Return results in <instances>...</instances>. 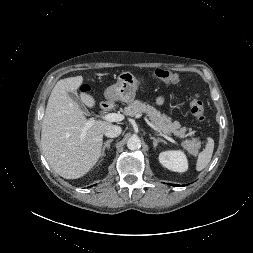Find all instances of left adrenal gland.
I'll return each mask as SVG.
<instances>
[{"label":"left adrenal gland","mask_w":253,"mask_h":253,"mask_svg":"<svg viewBox=\"0 0 253 253\" xmlns=\"http://www.w3.org/2000/svg\"><path fill=\"white\" fill-rule=\"evenodd\" d=\"M150 139L153 140V146H154V148L157 147V145H158L159 142L166 144L165 140L160 139V138H155V137H153L151 135H150Z\"/></svg>","instance_id":"a2214340"}]
</instances>
